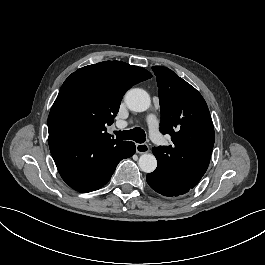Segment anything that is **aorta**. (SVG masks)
Wrapping results in <instances>:
<instances>
[{"mask_svg":"<svg viewBox=\"0 0 265 265\" xmlns=\"http://www.w3.org/2000/svg\"><path fill=\"white\" fill-rule=\"evenodd\" d=\"M124 102L131 111H146L151 104L149 94L140 88H133L126 92ZM140 169L145 173L153 172L157 167V160L153 154H142L138 161Z\"/></svg>","mask_w":265,"mask_h":265,"instance_id":"762f6f07","label":"aorta"}]
</instances>
